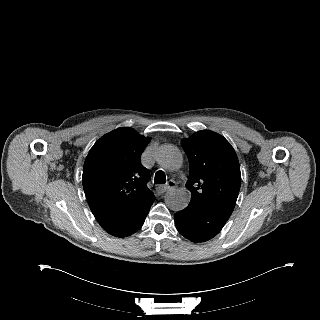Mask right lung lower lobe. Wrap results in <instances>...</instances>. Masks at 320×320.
Returning <instances> with one entry per match:
<instances>
[{
  "label": "right lung lower lobe",
  "mask_w": 320,
  "mask_h": 320,
  "mask_svg": "<svg viewBox=\"0 0 320 320\" xmlns=\"http://www.w3.org/2000/svg\"><path fill=\"white\" fill-rule=\"evenodd\" d=\"M151 205L137 212L100 223L101 227L109 234L116 237H126L139 230L150 210Z\"/></svg>",
  "instance_id": "98d812e1"
}]
</instances>
